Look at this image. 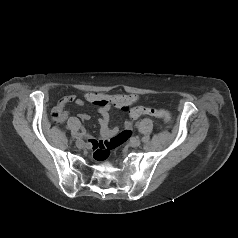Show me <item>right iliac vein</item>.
I'll return each mask as SVG.
<instances>
[{
    "instance_id": "obj_1",
    "label": "right iliac vein",
    "mask_w": 238,
    "mask_h": 238,
    "mask_svg": "<svg viewBox=\"0 0 238 238\" xmlns=\"http://www.w3.org/2000/svg\"><path fill=\"white\" fill-rule=\"evenodd\" d=\"M76 146H77L78 148H83V147L85 146V142H84L82 139H78V140L76 141Z\"/></svg>"
}]
</instances>
